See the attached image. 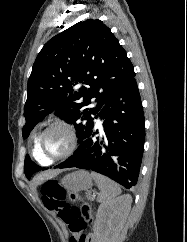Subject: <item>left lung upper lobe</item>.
<instances>
[{
  "instance_id": "obj_1",
  "label": "left lung upper lobe",
  "mask_w": 187,
  "mask_h": 242,
  "mask_svg": "<svg viewBox=\"0 0 187 242\" xmlns=\"http://www.w3.org/2000/svg\"><path fill=\"white\" fill-rule=\"evenodd\" d=\"M135 77L126 51L100 20L78 22L49 40L39 52L28 79L23 138L46 115L55 112L73 124L80 144L93 126V117ZM77 84H84L77 88ZM98 102L88 108L91 99ZM41 169L27 155L28 179Z\"/></svg>"
}]
</instances>
